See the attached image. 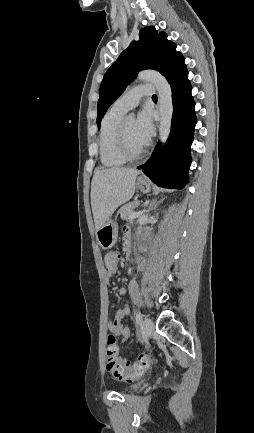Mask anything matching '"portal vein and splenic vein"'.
I'll use <instances>...</instances> for the list:
<instances>
[{
  "mask_svg": "<svg viewBox=\"0 0 254 433\" xmlns=\"http://www.w3.org/2000/svg\"><path fill=\"white\" fill-rule=\"evenodd\" d=\"M143 212H144V210H143V211H139V212H133V213L130 215V219L137 218L138 216L142 215Z\"/></svg>",
  "mask_w": 254,
  "mask_h": 433,
  "instance_id": "obj_1",
  "label": "portal vein and splenic vein"
}]
</instances>
